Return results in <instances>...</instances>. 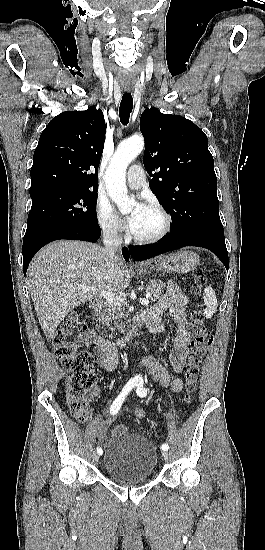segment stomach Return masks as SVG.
I'll return each instance as SVG.
<instances>
[{"mask_svg":"<svg viewBox=\"0 0 265 550\" xmlns=\"http://www.w3.org/2000/svg\"><path fill=\"white\" fill-rule=\"evenodd\" d=\"M200 264L198 255L192 251H179L176 253H170L162 256L157 262V271H162L163 274L167 273H188L194 271ZM152 268H150L151 270ZM148 272V268L141 269L139 274H145Z\"/></svg>","mask_w":265,"mask_h":550,"instance_id":"obj_1","label":"stomach"}]
</instances>
